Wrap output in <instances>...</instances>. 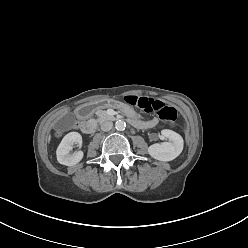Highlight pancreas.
Wrapping results in <instances>:
<instances>
[{"mask_svg": "<svg viewBox=\"0 0 248 248\" xmlns=\"http://www.w3.org/2000/svg\"><path fill=\"white\" fill-rule=\"evenodd\" d=\"M96 115H97V121L99 123H102L104 121H107V120H111L112 117L109 116L105 110H102V109H99L96 111Z\"/></svg>", "mask_w": 248, "mask_h": 248, "instance_id": "pancreas-1", "label": "pancreas"}]
</instances>
